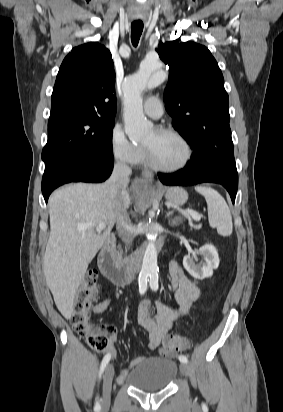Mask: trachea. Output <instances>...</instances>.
I'll list each match as a JSON object with an SVG mask.
<instances>
[{
	"label": "trachea",
	"mask_w": 283,
	"mask_h": 412,
	"mask_svg": "<svg viewBox=\"0 0 283 412\" xmlns=\"http://www.w3.org/2000/svg\"><path fill=\"white\" fill-rule=\"evenodd\" d=\"M142 31H143L142 22H133L131 24V42L134 47H137Z\"/></svg>",
	"instance_id": "obj_1"
}]
</instances>
